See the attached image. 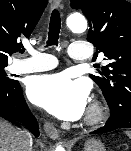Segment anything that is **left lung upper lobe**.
Returning <instances> with one entry per match:
<instances>
[{
	"label": "left lung upper lobe",
	"mask_w": 131,
	"mask_h": 151,
	"mask_svg": "<svg viewBox=\"0 0 131 151\" xmlns=\"http://www.w3.org/2000/svg\"><path fill=\"white\" fill-rule=\"evenodd\" d=\"M71 5L81 9L89 21L87 40L110 62L90 78L101 88L111 113L123 105L131 106V3L71 0Z\"/></svg>",
	"instance_id": "left-lung-upper-lobe-1"
}]
</instances>
